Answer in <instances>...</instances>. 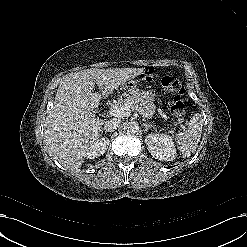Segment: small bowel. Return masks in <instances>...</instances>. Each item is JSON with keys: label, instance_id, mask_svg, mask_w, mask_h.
<instances>
[{"label": "small bowel", "instance_id": "c3829d8e", "mask_svg": "<svg viewBox=\"0 0 247 247\" xmlns=\"http://www.w3.org/2000/svg\"><path fill=\"white\" fill-rule=\"evenodd\" d=\"M153 77H154V69L153 68H149L142 75V78L145 81H151L153 79Z\"/></svg>", "mask_w": 247, "mask_h": 247}]
</instances>
